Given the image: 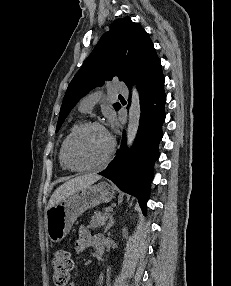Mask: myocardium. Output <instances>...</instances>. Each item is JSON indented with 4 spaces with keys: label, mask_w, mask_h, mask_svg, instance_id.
Returning <instances> with one entry per match:
<instances>
[{
    "label": "myocardium",
    "mask_w": 231,
    "mask_h": 286,
    "mask_svg": "<svg viewBox=\"0 0 231 286\" xmlns=\"http://www.w3.org/2000/svg\"><path fill=\"white\" fill-rule=\"evenodd\" d=\"M91 127H96V128L102 129L103 131H105L108 134V136L110 138L109 151L103 159H101L100 161H98L96 163H92V164H88V165H84V166H76L71 162L70 157H69V150H70L71 143H72L73 139L79 133H81L83 130H85L87 128H91ZM115 147H116V143H115L114 138L112 137V135L107 131V129L101 123H99L97 121H86V122L79 124L68 135V137L65 141V144H64V148H63V161H64V164L67 167V169L72 170V171H87V170L96 169V168L104 166L105 164H107L110 161V159L112 158V156L115 152Z\"/></svg>",
    "instance_id": "obj_1"
}]
</instances>
